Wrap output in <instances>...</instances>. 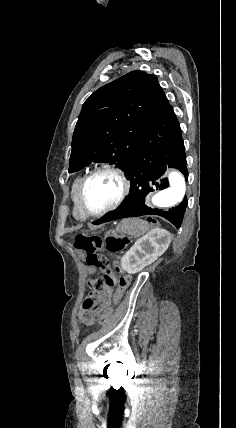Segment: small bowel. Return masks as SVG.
<instances>
[{"label": "small bowel", "mask_w": 236, "mask_h": 428, "mask_svg": "<svg viewBox=\"0 0 236 428\" xmlns=\"http://www.w3.org/2000/svg\"><path fill=\"white\" fill-rule=\"evenodd\" d=\"M98 301L102 306H108L110 304V297L106 294H100L98 296Z\"/></svg>", "instance_id": "1"}]
</instances>
